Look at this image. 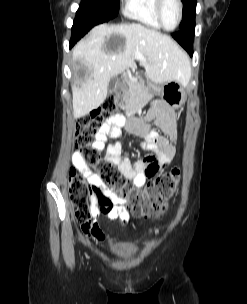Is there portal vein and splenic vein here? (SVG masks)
I'll return each mask as SVG.
<instances>
[{
  "instance_id": "18ae733b",
  "label": "portal vein and splenic vein",
  "mask_w": 247,
  "mask_h": 304,
  "mask_svg": "<svg viewBox=\"0 0 247 304\" xmlns=\"http://www.w3.org/2000/svg\"><path fill=\"white\" fill-rule=\"evenodd\" d=\"M134 57L139 60H145V57L140 52H135Z\"/></svg>"
}]
</instances>
